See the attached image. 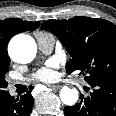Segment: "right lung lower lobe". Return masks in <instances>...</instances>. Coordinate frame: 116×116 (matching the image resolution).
<instances>
[{
    "instance_id": "right-lung-lower-lobe-1",
    "label": "right lung lower lobe",
    "mask_w": 116,
    "mask_h": 116,
    "mask_svg": "<svg viewBox=\"0 0 116 116\" xmlns=\"http://www.w3.org/2000/svg\"><path fill=\"white\" fill-rule=\"evenodd\" d=\"M32 87L26 94L14 98L8 92L0 98V116H29L33 108Z\"/></svg>"
}]
</instances>
